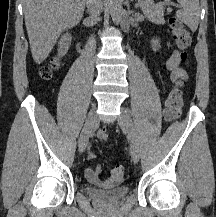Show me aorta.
Returning <instances> with one entry per match:
<instances>
[{
    "instance_id": "obj_1",
    "label": "aorta",
    "mask_w": 216,
    "mask_h": 217,
    "mask_svg": "<svg viewBox=\"0 0 216 217\" xmlns=\"http://www.w3.org/2000/svg\"><path fill=\"white\" fill-rule=\"evenodd\" d=\"M122 1L123 0H109L110 14H111L112 21L115 24H119L122 19V15H123Z\"/></svg>"
}]
</instances>
